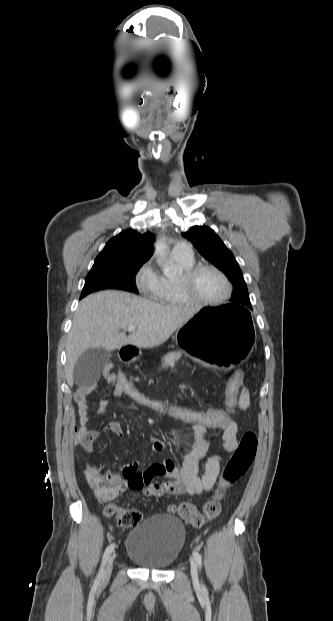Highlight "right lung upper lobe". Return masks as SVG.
<instances>
[{"label":"right lung upper lobe","instance_id":"cb5924a9","mask_svg":"<svg viewBox=\"0 0 333 621\" xmlns=\"http://www.w3.org/2000/svg\"><path fill=\"white\" fill-rule=\"evenodd\" d=\"M155 236L151 232L140 234L134 230L122 231L111 238L95 262L133 261L146 262L153 253Z\"/></svg>","mask_w":333,"mask_h":621}]
</instances>
